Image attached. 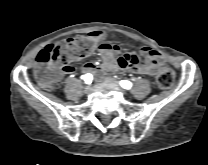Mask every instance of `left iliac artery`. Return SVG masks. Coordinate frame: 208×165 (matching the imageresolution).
I'll return each mask as SVG.
<instances>
[{
  "label": "left iliac artery",
  "mask_w": 208,
  "mask_h": 165,
  "mask_svg": "<svg viewBox=\"0 0 208 165\" xmlns=\"http://www.w3.org/2000/svg\"><path fill=\"white\" fill-rule=\"evenodd\" d=\"M120 85L124 88V89H130L132 86V83L130 81L127 80H122L120 81Z\"/></svg>",
  "instance_id": "1"
}]
</instances>
